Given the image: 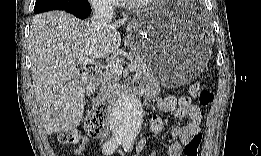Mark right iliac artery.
<instances>
[{"instance_id":"obj_1","label":"right iliac artery","mask_w":261,"mask_h":156,"mask_svg":"<svg viewBox=\"0 0 261 156\" xmlns=\"http://www.w3.org/2000/svg\"><path fill=\"white\" fill-rule=\"evenodd\" d=\"M120 143L121 141L119 139H110L109 141L103 144V152H105V154L107 155L112 154L115 151V149L118 148Z\"/></svg>"}]
</instances>
